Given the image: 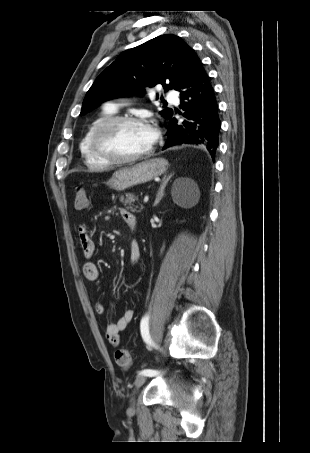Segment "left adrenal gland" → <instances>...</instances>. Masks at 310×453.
<instances>
[{"label": "left adrenal gland", "mask_w": 310, "mask_h": 453, "mask_svg": "<svg viewBox=\"0 0 310 453\" xmlns=\"http://www.w3.org/2000/svg\"><path fill=\"white\" fill-rule=\"evenodd\" d=\"M172 175L173 174H170V175L165 174L164 177L162 178V182H161L160 188L158 190V193L156 195V199H155V202H154L153 206H157L159 204V202L161 201V199L163 198L164 189L166 187V184L168 183V181L172 177Z\"/></svg>", "instance_id": "left-adrenal-gland-1"}]
</instances>
